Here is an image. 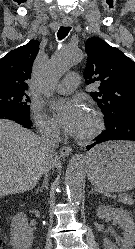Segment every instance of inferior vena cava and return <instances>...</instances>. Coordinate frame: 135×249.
I'll use <instances>...</instances> for the list:
<instances>
[{"mask_svg":"<svg viewBox=\"0 0 135 249\" xmlns=\"http://www.w3.org/2000/svg\"><path fill=\"white\" fill-rule=\"evenodd\" d=\"M41 135H42V142L46 149L51 153V155H56L55 154V148L59 146L60 142V131L52 126H44L40 130ZM54 163L51 161L47 167L46 173L53 168Z\"/></svg>","mask_w":135,"mask_h":249,"instance_id":"obj_1","label":"inferior vena cava"}]
</instances>
